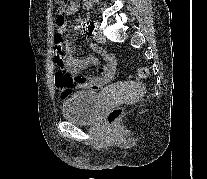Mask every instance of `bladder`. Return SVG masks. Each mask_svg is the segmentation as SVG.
<instances>
[{
  "label": "bladder",
  "instance_id": "31cf9c89",
  "mask_svg": "<svg viewBox=\"0 0 207 179\" xmlns=\"http://www.w3.org/2000/svg\"><path fill=\"white\" fill-rule=\"evenodd\" d=\"M99 109V94L94 91L81 90L66 98L61 113L66 121L89 124L95 121Z\"/></svg>",
  "mask_w": 207,
  "mask_h": 179
}]
</instances>
